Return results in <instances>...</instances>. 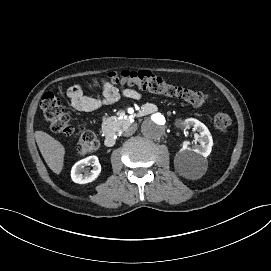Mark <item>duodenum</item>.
Returning <instances> with one entry per match:
<instances>
[{
    "label": "duodenum",
    "instance_id": "1",
    "mask_svg": "<svg viewBox=\"0 0 271 271\" xmlns=\"http://www.w3.org/2000/svg\"><path fill=\"white\" fill-rule=\"evenodd\" d=\"M104 143L107 147H113L116 144V137L113 134H107Z\"/></svg>",
    "mask_w": 271,
    "mask_h": 271
}]
</instances>
